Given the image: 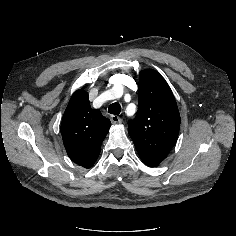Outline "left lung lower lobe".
I'll use <instances>...</instances> for the list:
<instances>
[{
    "instance_id": "obj_1",
    "label": "left lung lower lobe",
    "mask_w": 236,
    "mask_h": 236,
    "mask_svg": "<svg viewBox=\"0 0 236 236\" xmlns=\"http://www.w3.org/2000/svg\"><path fill=\"white\" fill-rule=\"evenodd\" d=\"M140 158L149 167H155V166H158L160 164V162L156 161V160H152V159H149V158H143V157H140Z\"/></svg>"
}]
</instances>
